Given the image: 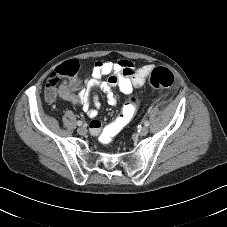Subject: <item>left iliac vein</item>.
<instances>
[{"label":"left iliac vein","mask_w":227,"mask_h":227,"mask_svg":"<svg viewBox=\"0 0 227 227\" xmlns=\"http://www.w3.org/2000/svg\"><path fill=\"white\" fill-rule=\"evenodd\" d=\"M148 128L147 127H142L140 130H139V134L141 135V136H145V135H147L148 134Z\"/></svg>","instance_id":"obj_1"}]
</instances>
